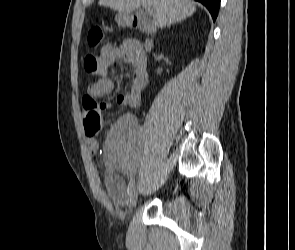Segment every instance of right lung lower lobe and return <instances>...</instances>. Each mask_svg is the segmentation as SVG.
Listing matches in <instances>:
<instances>
[{"label":"right lung lower lobe","instance_id":"obj_1","mask_svg":"<svg viewBox=\"0 0 295 250\" xmlns=\"http://www.w3.org/2000/svg\"><path fill=\"white\" fill-rule=\"evenodd\" d=\"M196 1L201 2L208 8V10L210 11L212 15L213 20L215 21L218 15L220 0H196Z\"/></svg>","mask_w":295,"mask_h":250}]
</instances>
